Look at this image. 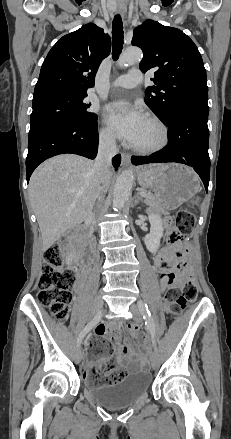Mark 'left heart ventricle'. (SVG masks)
Here are the masks:
<instances>
[{
  "instance_id": "1",
  "label": "left heart ventricle",
  "mask_w": 231,
  "mask_h": 439,
  "mask_svg": "<svg viewBox=\"0 0 231 439\" xmlns=\"http://www.w3.org/2000/svg\"><path fill=\"white\" fill-rule=\"evenodd\" d=\"M160 138L158 128L146 119L140 136L135 143L137 146H149L155 144Z\"/></svg>"
}]
</instances>
